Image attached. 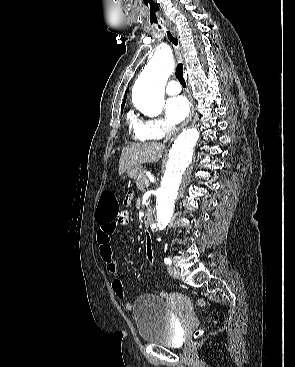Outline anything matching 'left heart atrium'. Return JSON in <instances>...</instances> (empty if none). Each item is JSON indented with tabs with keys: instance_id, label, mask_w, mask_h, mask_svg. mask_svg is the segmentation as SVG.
<instances>
[{
	"instance_id": "1",
	"label": "left heart atrium",
	"mask_w": 295,
	"mask_h": 367,
	"mask_svg": "<svg viewBox=\"0 0 295 367\" xmlns=\"http://www.w3.org/2000/svg\"><path fill=\"white\" fill-rule=\"evenodd\" d=\"M167 119L176 124L182 121L189 112V103L183 96L170 98L165 106Z\"/></svg>"
}]
</instances>
